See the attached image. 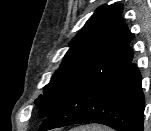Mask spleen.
<instances>
[{
  "label": "spleen",
  "instance_id": "1",
  "mask_svg": "<svg viewBox=\"0 0 151 131\" xmlns=\"http://www.w3.org/2000/svg\"><path fill=\"white\" fill-rule=\"evenodd\" d=\"M72 131H113L107 127L99 126V125H86V126H80Z\"/></svg>",
  "mask_w": 151,
  "mask_h": 131
}]
</instances>
